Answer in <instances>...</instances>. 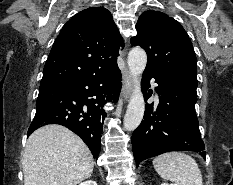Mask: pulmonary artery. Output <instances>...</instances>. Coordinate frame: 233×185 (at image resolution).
Here are the masks:
<instances>
[{
    "instance_id": "obj_1",
    "label": "pulmonary artery",
    "mask_w": 233,
    "mask_h": 185,
    "mask_svg": "<svg viewBox=\"0 0 233 185\" xmlns=\"http://www.w3.org/2000/svg\"><path fill=\"white\" fill-rule=\"evenodd\" d=\"M152 85H153V86H155V83H154V81H153V80H152Z\"/></svg>"
}]
</instances>
